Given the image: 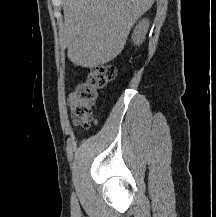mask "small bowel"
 Masks as SVG:
<instances>
[{
	"instance_id": "1",
	"label": "small bowel",
	"mask_w": 216,
	"mask_h": 217,
	"mask_svg": "<svg viewBox=\"0 0 216 217\" xmlns=\"http://www.w3.org/2000/svg\"><path fill=\"white\" fill-rule=\"evenodd\" d=\"M68 101H69V103H71V96H69Z\"/></svg>"
}]
</instances>
